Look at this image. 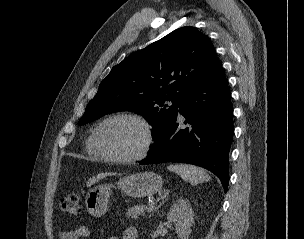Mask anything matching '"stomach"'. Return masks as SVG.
Wrapping results in <instances>:
<instances>
[{"label": "stomach", "mask_w": 304, "mask_h": 239, "mask_svg": "<svg viewBox=\"0 0 304 239\" xmlns=\"http://www.w3.org/2000/svg\"><path fill=\"white\" fill-rule=\"evenodd\" d=\"M162 183L160 175L146 171L127 175L116 182L115 185H99L91 189L86 195L87 211L94 217L103 216L108 209L112 188L117 187L131 197L143 198L154 195L161 189Z\"/></svg>", "instance_id": "1"}]
</instances>
